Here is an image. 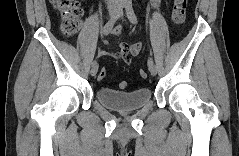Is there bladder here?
Returning a JSON list of instances; mask_svg holds the SVG:
<instances>
[{"mask_svg":"<svg viewBox=\"0 0 239 156\" xmlns=\"http://www.w3.org/2000/svg\"><path fill=\"white\" fill-rule=\"evenodd\" d=\"M96 99L108 109L127 112L144 107L152 97L149 88H139L132 92H122L112 88L101 87L96 90Z\"/></svg>","mask_w":239,"mask_h":156,"instance_id":"1","label":"bladder"}]
</instances>
